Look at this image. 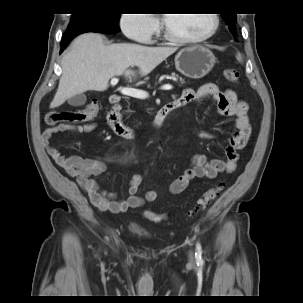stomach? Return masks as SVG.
Returning <instances> with one entry per match:
<instances>
[{"label": "stomach", "instance_id": "obj_1", "mask_svg": "<svg viewBox=\"0 0 303 303\" xmlns=\"http://www.w3.org/2000/svg\"><path fill=\"white\" fill-rule=\"evenodd\" d=\"M215 62L214 54L204 46L184 48L175 56L176 69L192 79L206 76L212 70Z\"/></svg>", "mask_w": 303, "mask_h": 303}]
</instances>
